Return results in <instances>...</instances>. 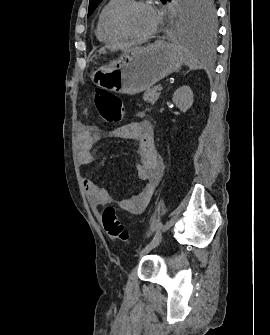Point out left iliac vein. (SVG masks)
<instances>
[{
    "instance_id": "1",
    "label": "left iliac vein",
    "mask_w": 270,
    "mask_h": 335,
    "mask_svg": "<svg viewBox=\"0 0 270 335\" xmlns=\"http://www.w3.org/2000/svg\"><path fill=\"white\" fill-rule=\"evenodd\" d=\"M154 246H146L144 247L140 252H139V256H143L145 254H148L149 252H151L153 250Z\"/></svg>"
}]
</instances>
